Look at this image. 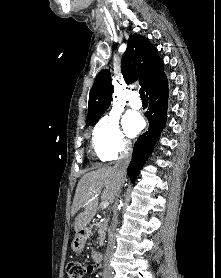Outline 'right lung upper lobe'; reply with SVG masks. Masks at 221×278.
<instances>
[{
	"label": "right lung upper lobe",
	"instance_id": "1",
	"mask_svg": "<svg viewBox=\"0 0 221 278\" xmlns=\"http://www.w3.org/2000/svg\"><path fill=\"white\" fill-rule=\"evenodd\" d=\"M163 61L149 40L136 33L129 36L127 49L121 61L122 75L127 84L137 79L146 90L163 73ZM113 85L109 69L100 71L89 94L87 124H95L109 107Z\"/></svg>",
	"mask_w": 221,
	"mask_h": 278
}]
</instances>
